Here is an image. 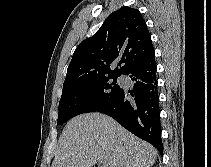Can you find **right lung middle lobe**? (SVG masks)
Returning a JSON list of instances; mask_svg holds the SVG:
<instances>
[{
  "instance_id": "right-lung-middle-lobe-1",
  "label": "right lung middle lobe",
  "mask_w": 211,
  "mask_h": 167,
  "mask_svg": "<svg viewBox=\"0 0 211 167\" xmlns=\"http://www.w3.org/2000/svg\"><path fill=\"white\" fill-rule=\"evenodd\" d=\"M118 75L88 79L63 86L57 125L82 113L96 112L108 105L121 91Z\"/></svg>"
}]
</instances>
